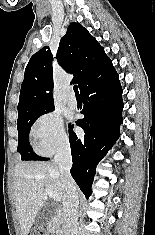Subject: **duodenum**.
<instances>
[{"mask_svg":"<svg viewBox=\"0 0 155 235\" xmlns=\"http://www.w3.org/2000/svg\"><path fill=\"white\" fill-rule=\"evenodd\" d=\"M55 215L57 217H61L63 215V211L61 209H57V210H55Z\"/></svg>","mask_w":155,"mask_h":235,"instance_id":"1","label":"duodenum"}]
</instances>
